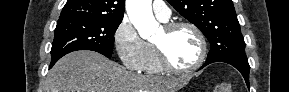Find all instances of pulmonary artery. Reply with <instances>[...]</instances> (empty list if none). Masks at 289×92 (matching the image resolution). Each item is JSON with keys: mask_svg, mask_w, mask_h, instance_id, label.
Masks as SVG:
<instances>
[{"mask_svg": "<svg viewBox=\"0 0 289 92\" xmlns=\"http://www.w3.org/2000/svg\"><path fill=\"white\" fill-rule=\"evenodd\" d=\"M152 8L155 16L161 21H167L170 18L171 11L164 1H153Z\"/></svg>", "mask_w": 289, "mask_h": 92, "instance_id": "1", "label": "pulmonary artery"}]
</instances>
